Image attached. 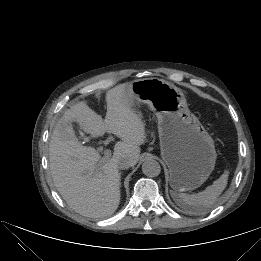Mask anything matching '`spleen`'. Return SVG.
Instances as JSON below:
<instances>
[{
	"mask_svg": "<svg viewBox=\"0 0 261 261\" xmlns=\"http://www.w3.org/2000/svg\"><path fill=\"white\" fill-rule=\"evenodd\" d=\"M228 175V171H225L211 186L198 194L188 195L172 192V197L180 206L188 209L192 214H200L203 208L211 206L223 192L227 185Z\"/></svg>",
	"mask_w": 261,
	"mask_h": 261,
	"instance_id": "spleen-1",
	"label": "spleen"
}]
</instances>
